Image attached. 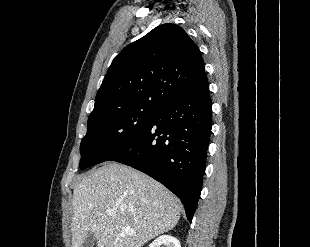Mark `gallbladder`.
<instances>
[{
	"instance_id": "1",
	"label": "gallbladder",
	"mask_w": 310,
	"mask_h": 247,
	"mask_svg": "<svg viewBox=\"0 0 310 247\" xmlns=\"http://www.w3.org/2000/svg\"><path fill=\"white\" fill-rule=\"evenodd\" d=\"M95 240V235L93 233H89L81 247H94Z\"/></svg>"
}]
</instances>
